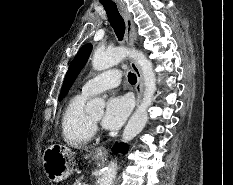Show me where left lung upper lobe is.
<instances>
[{
    "mask_svg": "<svg viewBox=\"0 0 233 185\" xmlns=\"http://www.w3.org/2000/svg\"><path fill=\"white\" fill-rule=\"evenodd\" d=\"M92 45L86 44L82 46L76 55V57L71 62L69 69L67 71L61 94L59 96V100H61L70 89L71 85L73 84L74 80L76 79L78 73L82 69V67L85 65L86 61L88 60V57L91 53Z\"/></svg>",
    "mask_w": 233,
    "mask_h": 185,
    "instance_id": "left-lung-upper-lobe-1",
    "label": "left lung upper lobe"
}]
</instances>
